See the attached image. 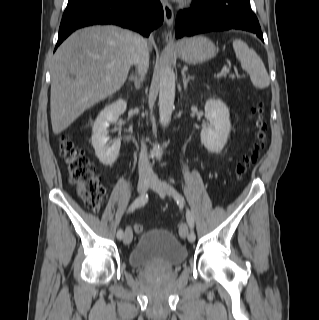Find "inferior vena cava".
<instances>
[{
  "label": "inferior vena cava",
  "mask_w": 319,
  "mask_h": 320,
  "mask_svg": "<svg viewBox=\"0 0 319 320\" xmlns=\"http://www.w3.org/2000/svg\"><path fill=\"white\" fill-rule=\"evenodd\" d=\"M135 48L132 56V61L136 65L139 73L145 75L149 67V50L147 42L139 35H135ZM153 174L152 167L148 161L146 146L142 142L141 152L139 156V175L151 176Z\"/></svg>",
  "instance_id": "1"
}]
</instances>
